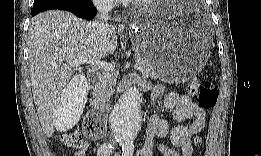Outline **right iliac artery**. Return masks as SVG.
<instances>
[{"mask_svg":"<svg viewBox=\"0 0 261 156\" xmlns=\"http://www.w3.org/2000/svg\"><path fill=\"white\" fill-rule=\"evenodd\" d=\"M119 141V140H117ZM114 150V143H104L98 148V155L101 156H108L112 154V151Z\"/></svg>","mask_w":261,"mask_h":156,"instance_id":"right-iliac-artery-1","label":"right iliac artery"}]
</instances>
